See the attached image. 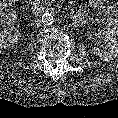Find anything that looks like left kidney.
I'll return each mask as SVG.
<instances>
[{"instance_id":"5707ae66","label":"left kidney","mask_w":118,"mask_h":118,"mask_svg":"<svg viewBox=\"0 0 118 118\" xmlns=\"http://www.w3.org/2000/svg\"><path fill=\"white\" fill-rule=\"evenodd\" d=\"M100 39L107 43L105 50L100 51L98 48L94 49V54L103 61H110L118 56V41L109 32L101 30L98 33Z\"/></svg>"}]
</instances>
